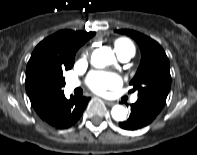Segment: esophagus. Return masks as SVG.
Listing matches in <instances>:
<instances>
[{
    "label": "esophagus",
    "mask_w": 197,
    "mask_h": 155,
    "mask_svg": "<svg viewBox=\"0 0 197 155\" xmlns=\"http://www.w3.org/2000/svg\"><path fill=\"white\" fill-rule=\"evenodd\" d=\"M104 103L108 106H113L115 103L112 101L104 100Z\"/></svg>",
    "instance_id": "esophagus-1"
}]
</instances>
